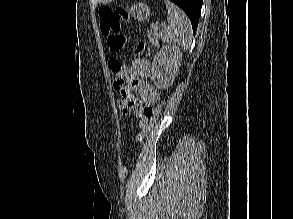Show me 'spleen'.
Returning a JSON list of instances; mask_svg holds the SVG:
<instances>
[{
	"mask_svg": "<svg viewBox=\"0 0 293 219\" xmlns=\"http://www.w3.org/2000/svg\"><path fill=\"white\" fill-rule=\"evenodd\" d=\"M168 9V26L160 32L162 41L168 44L181 45L188 49L192 42V26L187 15L169 0H164Z\"/></svg>",
	"mask_w": 293,
	"mask_h": 219,
	"instance_id": "obj_1",
	"label": "spleen"
}]
</instances>
